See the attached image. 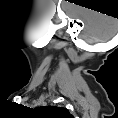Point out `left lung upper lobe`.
Listing matches in <instances>:
<instances>
[{"mask_svg":"<svg viewBox=\"0 0 118 118\" xmlns=\"http://www.w3.org/2000/svg\"><path fill=\"white\" fill-rule=\"evenodd\" d=\"M46 109H48L49 111H51L54 115H59V114L69 115L68 110L65 109V108L48 106V107H46Z\"/></svg>","mask_w":118,"mask_h":118,"instance_id":"1","label":"left lung upper lobe"}]
</instances>
